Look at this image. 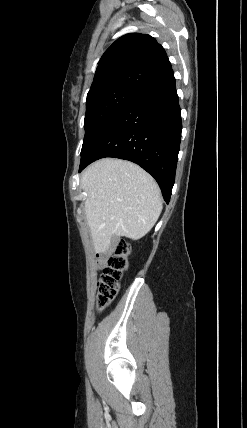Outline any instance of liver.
<instances>
[{
    "label": "liver",
    "mask_w": 247,
    "mask_h": 428,
    "mask_svg": "<svg viewBox=\"0 0 247 428\" xmlns=\"http://www.w3.org/2000/svg\"><path fill=\"white\" fill-rule=\"evenodd\" d=\"M87 193L85 213L95 252L105 253L114 236L137 240L157 222L161 192L155 180L138 165L106 158L82 174Z\"/></svg>",
    "instance_id": "liver-1"
}]
</instances>
